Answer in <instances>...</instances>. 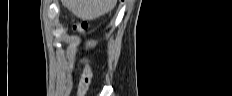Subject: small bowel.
Wrapping results in <instances>:
<instances>
[{
    "mask_svg": "<svg viewBox=\"0 0 232 96\" xmlns=\"http://www.w3.org/2000/svg\"><path fill=\"white\" fill-rule=\"evenodd\" d=\"M90 77H91V70L86 67L83 70L82 78H81V81L79 84L80 88H83V89L87 88V86L89 84ZM85 79H87V80L85 81Z\"/></svg>",
    "mask_w": 232,
    "mask_h": 96,
    "instance_id": "small-bowel-1",
    "label": "small bowel"
}]
</instances>
